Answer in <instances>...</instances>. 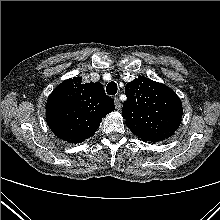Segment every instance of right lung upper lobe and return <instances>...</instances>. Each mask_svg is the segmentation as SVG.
Instances as JSON below:
<instances>
[{
	"label": "right lung upper lobe",
	"instance_id": "cb5924a9",
	"mask_svg": "<svg viewBox=\"0 0 220 220\" xmlns=\"http://www.w3.org/2000/svg\"><path fill=\"white\" fill-rule=\"evenodd\" d=\"M81 77L68 79L50 94L46 120L52 132L68 143H80L94 135L100 121L115 110L114 101L101 83H81Z\"/></svg>",
	"mask_w": 220,
	"mask_h": 220
}]
</instances>
